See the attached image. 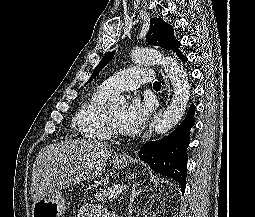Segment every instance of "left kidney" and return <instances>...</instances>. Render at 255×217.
<instances>
[{
    "mask_svg": "<svg viewBox=\"0 0 255 217\" xmlns=\"http://www.w3.org/2000/svg\"><path fill=\"white\" fill-rule=\"evenodd\" d=\"M145 213L147 214V210H144V211H143L144 217H147V215H145Z\"/></svg>",
    "mask_w": 255,
    "mask_h": 217,
    "instance_id": "1",
    "label": "left kidney"
}]
</instances>
